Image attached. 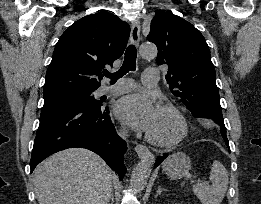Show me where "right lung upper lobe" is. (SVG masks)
I'll list each match as a JSON object with an SVG mask.
<instances>
[{"label":"right lung upper lobe","instance_id":"obj_1","mask_svg":"<svg viewBox=\"0 0 261 204\" xmlns=\"http://www.w3.org/2000/svg\"><path fill=\"white\" fill-rule=\"evenodd\" d=\"M129 34V25L109 12L73 23L55 46L43 94L96 90L101 70L123 54Z\"/></svg>","mask_w":261,"mask_h":204}]
</instances>
